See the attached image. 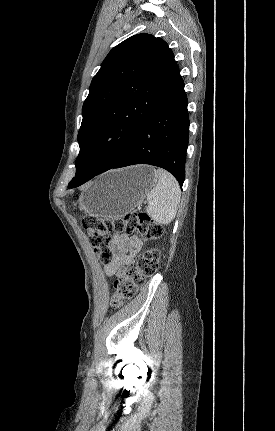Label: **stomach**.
Listing matches in <instances>:
<instances>
[{
    "instance_id": "0dacf381",
    "label": "stomach",
    "mask_w": 275,
    "mask_h": 431,
    "mask_svg": "<svg viewBox=\"0 0 275 431\" xmlns=\"http://www.w3.org/2000/svg\"><path fill=\"white\" fill-rule=\"evenodd\" d=\"M157 179L155 169L148 165L111 170L99 176L78 203L88 215L120 218L143 202Z\"/></svg>"
}]
</instances>
